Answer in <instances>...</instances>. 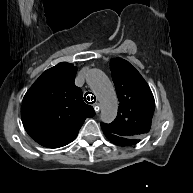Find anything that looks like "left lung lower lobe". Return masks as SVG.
Returning a JSON list of instances; mask_svg holds the SVG:
<instances>
[{
  "mask_svg": "<svg viewBox=\"0 0 193 193\" xmlns=\"http://www.w3.org/2000/svg\"><path fill=\"white\" fill-rule=\"evenodd\" d=\"M104 134L111 142H113L115 144L122 145V146L133 145V144H130V142H128L127 140L120 139L119 137H117L113 134H110V133H104Z\"/></svg>",
  "mask_w": 193,
  "mask_h": 193,
  "instance_id": "0a47b994",
  "label": "left lung lower lobe"
}]
</instances>
